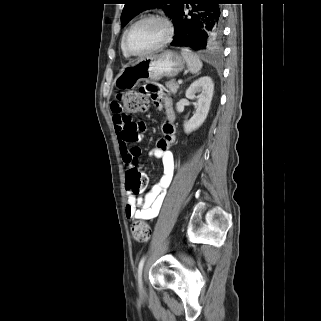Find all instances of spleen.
Here are the masks:
<instances>
[{"label":"spleen","instance_id":"obj_1","mask_svg":"<svg viewBox=\"0 0 321 321\" xmlns=\"http://www.w3.org/2000/svg\"><path fill=\"white\" fill-rule=\"evenodd\" d=\"M181 54L186 61L188 69L191 73L195 74L201 70L203 66L202 62L200 61L198 56L194 54L190 49L182 48Z\"/></svg>","mask_w":321,"mask_h":321}]
</instances>
